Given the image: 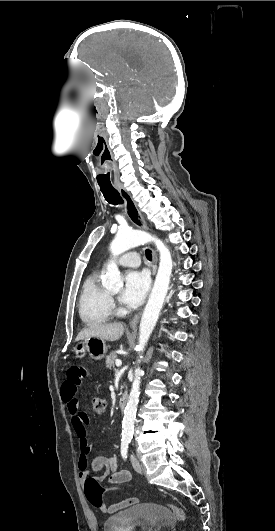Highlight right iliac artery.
<instances>
[{
	"instance_id": "obj_1",
	"label": "right iliac artery",
	"mask_w": 275,
	"mask_h": 531,
	"mask_svg": "<svg viewBox=\"0 0 275 531\" xmlns=\"http://www.w3.org/2000/svg\"><path fill=\"white\" fill-rule=\"evenodd\" d=\"M128 443L129 441L122 439L121 440V455L123 459L127 458V452H128Z\"/></svg>"
}]
</instances>
